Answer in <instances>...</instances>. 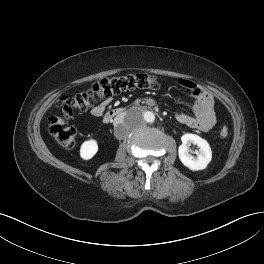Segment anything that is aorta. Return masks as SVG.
I'll return each mask as SVG.
<instances>
[{"label": "aorta", "instance_id": "1", "mask_svg": "<svg viewBox=\"0 0 264 264\" xmlns=\"http://www.w3.org/2000/svg\"><path fill=\"white\" fill-rule=\"evenodd\" d=\"M142 118H143V121H145L147 123H153L155 120V114L151 111H145L142 114Z\"/></svg>", "mask_w": 264, "mask_h": 264}]
</instances>
